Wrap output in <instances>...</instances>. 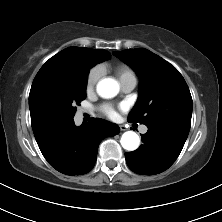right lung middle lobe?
Here are the masks:
<instances>
[{"mask_svg": "<svg viewBox=\"0 0 222 222\" xmlns=\"http://www.w3.org/2000/svg\"><path fill=\"white\" fill-rule=\"evenodd\" d=\"M95 62L78 59L52 68L37 86L32 124L46 125L59 117L73 118L76 105L86 98L87 77Z\"/></svg>", "mask_w": 222, "mask_h": 222, "instance_id": "obj_1", "label": "right lung middle lobe"}]
</instances>
